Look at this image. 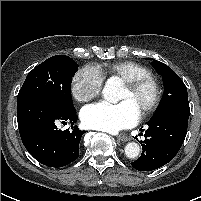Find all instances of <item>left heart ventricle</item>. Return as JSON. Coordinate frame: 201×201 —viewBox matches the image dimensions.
<instances>
[{
    "mask_svg": "<svg viewBox=\"0 0 201 201\" xmlns=\"http://www.w3.org/2000/svg\"><path fill=\"white\" fill-rule=\"evenodd\" d=\"M152 97L153 91L150 85H145L134 92L123 86L118 101H129L138 112H141L150 103Z\"/></svg>",
    "mask_w": 201,
    "mask_h": 201,
    "instance_id": "obj_1",
    "label": "left heart ventricle"
}]
</instances>
